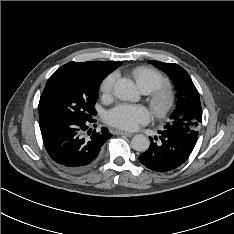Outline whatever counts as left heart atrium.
Here are the masks:
<instances>
[{"label":"left heart atrium","mask_w":234,"mask_h":234,"mask_svg":"<svg viewBox=\"0 0 234 234\" xmlns=\"http://www.w3.org/2000/svg\"><path fill=\"white\" fill-rule=\"evenodd\" d=\"M150 119L149 111L143 106L121 104L107 112L105 120L108 124L122 130L132 131Z\"/></svg>","instance_id":"1"}]
</instances>
